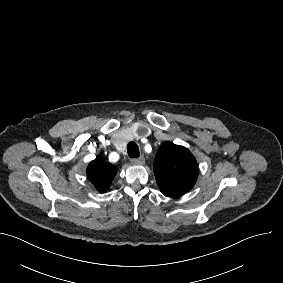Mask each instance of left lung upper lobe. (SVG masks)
<instances>
[{"instance_id":"left-lung-upper-lobe-1","label":"left lung upper lobe","mask_w":283,"mask_h":283,"mask_svg":"<svg viewBox=\"0 0 283 283\" xmlns=\"http://www.w3.org/2000/svg\"><path fill=\"white\" fill-rule=\"evenodd\" d=\"M153 169L160 191L171 198L190 191L198 177V164L191 152L171 142L159 147Z\"/></svg>"}]
</instances>
